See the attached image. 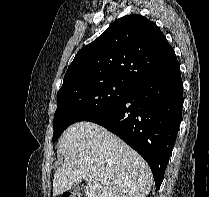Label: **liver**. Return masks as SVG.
I'll return each mask as SVG.
<instances>
[{
	"label": "liver",
	"mask_w": 209,
	"mask_h": 197,
	"mask_svg": "<svg viewBox=\"0 0 209 197\" xmlns=\"http://www.w3.org/2000/svg\"><path fill=\"white\" fill-rule=\"evenodd\" d=\"M64 157L53 179V195L87 181V197H145L153 182L145 160L118 136L86 121L69 126L58 143ZM95 169V170H93Z\"/></svg>",
	"instance_id": "obj_1"
}]
</instances>
